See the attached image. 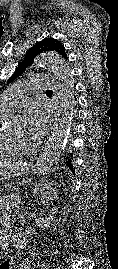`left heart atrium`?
Listing matches in <instances>:
<instances>
[{
  "label": "left heart atrium",
  "mask_w": 118,
  "mask_h": 269,
  "mask_svg": "<svg viewBox=\"0 0 118 269\" xmlns=\"http://www.w3.org/2000/svg\"><path fill=\"white\" fill-rule=\"evenodd\" d=\"M51 121V113L47 106L40 101L27 104L24 122L25 132L32 139L42 138L48 131Z\"/></svg>",
  "instance_id": "39dd6f15"
}]
</instances>
